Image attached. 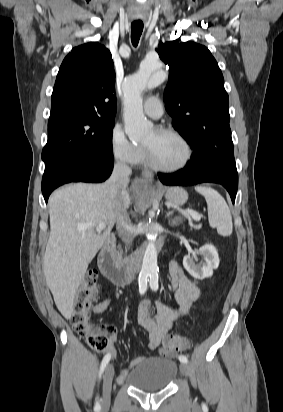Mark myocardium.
Returning <instances> with one entry per match:
<instances>
[{
    "label": "myocardium",
    "mask_w": 283,
    "mask_h": 412,
    "mask_svg": "<svg viewBox=\"0 0 283 412\" xmlns=\"http://www.w3.org/2000/svg\"><path fill=\"white\" fill-rule=\"evenodd\" d=\"M159 134H169L175 136L179 139L185 147V158L184 160L177 166L174 167H163L158 165L152 158L151 152L149 148L143 144V152L144 157L147 165L155 171L166 172V173H174L183 170L186 168L193 157V149L189 142V140L178 130L169 127H159L155 130Z\"/></svg>",
    "instance_id": "obj_1"
}]
</instances>
